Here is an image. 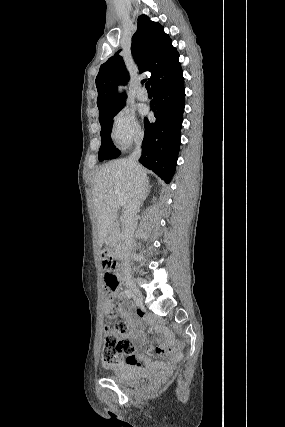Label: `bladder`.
<instances>
[{
	"instance_id": "1",
	"label": "bladder",
	"mask_w": 285,
	"mask_h": 427,
	"mask_svg": "<svg viewBox=\"0 0 285 427\" xmlns=\"http://www.w3.org/2000/svg\"><path fill=\"white\" fill-rule=\"evenodd\" d=\"M152 377L151 373L133 364H123L118 366L113 373L106 375L107 379L117 382H143Z\"/></svg>"
}]
</instances>
